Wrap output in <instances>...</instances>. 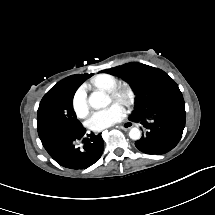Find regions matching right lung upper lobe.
<instances>
[{
    "instance_id": "obj_1",
    "label": "right lung upper lobe",
    "mask_w": 215,
    "mask_h": 215,
    "mask_svg": "<svg viewBox=\"0 0 215 215\" xmlns=\"http://www.w3.org/2000/svg\"><path fill=\"white\" fill-rule=\"evenodd\" d=\"M92 74H84V75H74L73 77H78V78H88L90 77ZM71 77V76H70Z\"/></svg>"
}]
</instances>
